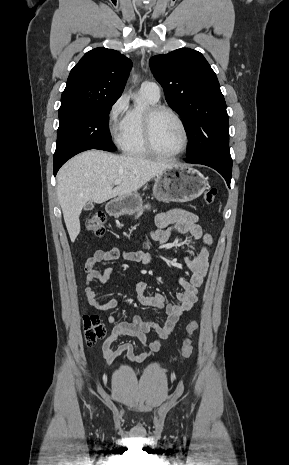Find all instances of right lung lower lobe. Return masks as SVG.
I'll use <instances>...</instances> for the list:
<instances>
[{
	"mask_svg": "<svg viewBox=\"0 0 289 465\" xmlns=\"http://www.w3.org/2000/svg\"><path fill=\"white\" fill-rule=\"evenodd\" d=\"M66 161H67V160L54 162V175H56V173H57V171L59 170V168H60Z\"/></svg>",
	"mask_w": 289,
	"mask_h": 465,
	"instance_id": "right-lung-lower-lobe-1",
	"label": "right lung lower lobe"
}]
</instances>
